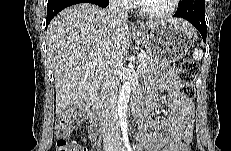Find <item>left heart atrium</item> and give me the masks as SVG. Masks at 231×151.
I'll return each instance as SVG.
<instances>
[{"instance_id": "1", "label": "left heart atrium", "mask_w": 231, "mask_h": 151, "mask_svg": "<svg viewBox=\"0 0 231 151\" xmlns=\"http://www.w3.org/2000/svg\"><path fill=\"white\" fill-rule=\"evenodd\" d=\"M141 1H144V0H137L136 2H141Z\"/></svg>"}]
</instances>
